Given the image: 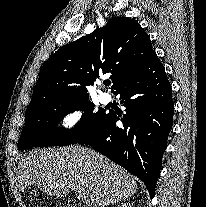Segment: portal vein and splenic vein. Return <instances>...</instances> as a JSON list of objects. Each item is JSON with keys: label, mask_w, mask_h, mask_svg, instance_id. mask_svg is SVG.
<instances>
[{"label": "portal vein and splenic vein", "mask_w": 206, "mask_h": 207, "mask_svg": "<svg viewBox=\"0 0 206 207\" xmlns=\"http://www.w3.org/2000/svg\"><path fill=\"white\" fill-rule=\"evenodd\" d=\"M69 187L70 188H72V190H74V191H76V192H78V194H79V199H81V200H83V201H85V202H87V196H86V194L84 193V191L79 187V186H77V185H69Z\"/></svg>", "instance_id": "18ae733b"}]
</instances>
